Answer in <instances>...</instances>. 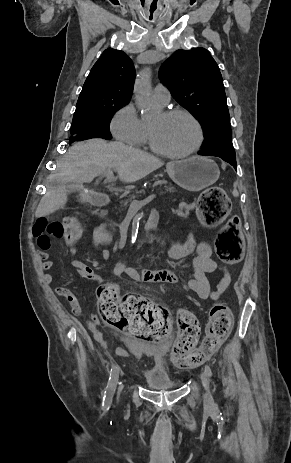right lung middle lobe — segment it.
I'll return each instance as SVG.
<instances>
[{"mask_svg": "<svg viewBox=\"0 0 291 463\" xmlns=\"http://www.w3.org/2000/svg\"><path fill=\"white\" fill-rule=\"evenodd\" d=\"M125 104L127 103L107 101L95 111L74 115L69 143L92 138L111 139L110 121L115 112Z\"/></svg>", "mask_w": 291, "mask_h": 463, "instance_id": "right-lung-middle-lobe-1", "label": "right lung middle lobe"}]
</instances>
